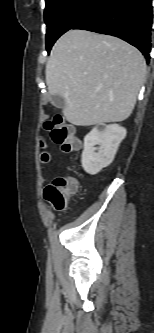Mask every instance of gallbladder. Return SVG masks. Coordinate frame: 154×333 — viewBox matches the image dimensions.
Instances as JSON below:
<instances>
[{
  "label": "gallbladder",
  "mask_w": 154,
  "mask_h": 333,
  "mask_svg": "<svg viewBox=\"0 0 154 333\" xmlns=\"http://www.w3.org/2000/svg\"><path fill=\"white\" fill-rule=\"evenodd\" d=\"M51 103L53 106H55L57 108H63L65 105V100L62 96L54 95L52 97Z\"/></svg>",
  "instance_id": "gallbladder-1"
}]
</instances>
